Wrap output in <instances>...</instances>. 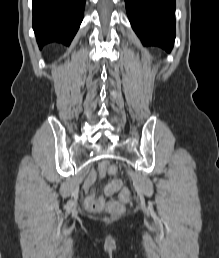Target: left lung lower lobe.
Here are the masks:
<instances>
[{
  "label": "left lung lower lobe",
  "mask_w": 219,
  "mask_h": 258,
  "mask_svg": "<svg viewBox=\"0 0 219 258\" xmlns=\"http://www.w3.org/2000/svg\"><path fill=\"white\" fill-rule=\"evenodd\" d=\"M132 25L144 46L170 52L175 40V0H125Z\"/></svg>",
  "instance_id": "0a47b994"
}]
</instances>
